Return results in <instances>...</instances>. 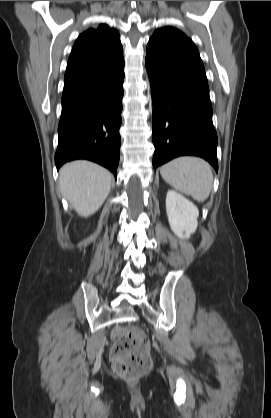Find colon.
<instances>
[{
	"instance_id": "5ec220e1",
	"label": "colon",
	"mask_w": 271,
	"mask_h": 418,
	"mask_svg": "<svg viewBox=\"0 0 271 418\" xmlns=\"http://www.w3.org/2000/svg\"><path fill=\"white\" fill-rule=\"evenodd\" d=\"M114 341L110 363L113 372L123 378H136L152 365L147 336L138 328H119L113 331Z\"/></svg>"
}]
</instances>
